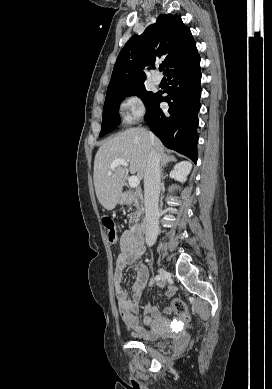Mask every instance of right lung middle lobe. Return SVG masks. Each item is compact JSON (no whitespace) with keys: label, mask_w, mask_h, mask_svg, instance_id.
<instances>
[{"label":"right lung middle lobe","mask_w":272,"mask_h":389,"mask_svg":"<svg viewBox=\"0 0 272 389\" xmlns=\"http://www.w3.org/2000/svg\"><path fill=\"white\" fill-rule=\"evenodd\" d=\"M157 94L147 91L144 83L107 93L103 108L102 129L99 137L104 136L119 125L120 117L118 110L120 103L125 97L136 95L143 100L146 108H148L156 99Z\"/></svg>","instance_id":"dd1d6c3e"}]
</instances>
